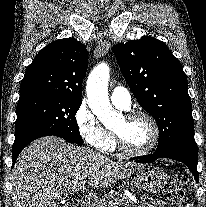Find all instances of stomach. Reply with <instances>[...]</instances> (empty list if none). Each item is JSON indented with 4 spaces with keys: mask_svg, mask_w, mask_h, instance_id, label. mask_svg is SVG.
Returning <instances> with one entry per match:
<instances>
[{
    "mask_svg": "<svg viewBox=\"0 0 206 207\" xmlns=\"http://www.w3.org/2000/svg\"><path fill=\"white\" fill-rule=\"evenodd\" d=\"M167 176L162 169L153 165H140L136 168L131 184L147 193H156L166 184Z\"/></svg>",
    "mask_w": 206,
    "mask_h": 207,
    "instance_id": "obj_1",
    "label": "stomach"
}]
</instances>
